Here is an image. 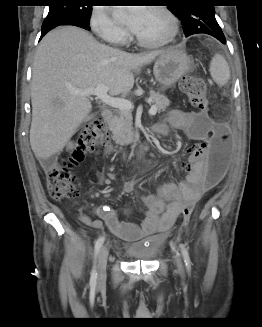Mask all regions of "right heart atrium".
I'll return each instance as SVG.
<instances>
[{
    "label": "right heart atrium",
    "mask_w": 262,
    "mask_h": 327,
    "mask_svg": "<svg viewBox=\"0 0 262 327\" xmlns=\"http://www.w3.org/2000/svg\"><path fill=\"white\" fill-rule=\"evenodd\" d=\"M89 25L104 42L122 46L128 40V32L119 26L108 7H94L89 17Z\"/></svg>",
    "instance_id": "d8ad5b80"
}]
</instances>
